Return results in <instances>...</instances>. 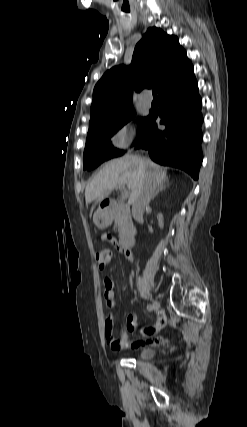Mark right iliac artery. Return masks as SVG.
Wrapping results in <instances>:
<instances>
[{"label":"right iliac artery","mask_w":247,"mask_h":427,"mask_svg":"<svg viewBox=\"0 0 247 427\" xmlns=\"http://www.w3.org/2000/svg\"><path fill=\"white\" fill-rule=\"evenodd\" d=\"M152 309H153V307H152V305H151V304L147 305V310H148V311H152Z\"/></svg>","instance_id":"obj_1"}]
</instances>
